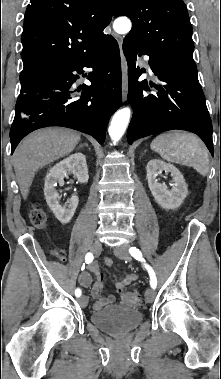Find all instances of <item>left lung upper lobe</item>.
<instances>
[{
    "instance_id": "1",
    "label": "left lung upper lobe",
    "mask_w": 221,
    "mask_h": 379,
    "mask_svg": "<svg viewBox=\"0 0 221 379\" xmlns=\"http://www.w3.org/2000/svg\"><path fill=\"white\" fill-rule=\"evenodd\" d=\"M113 14L132 21L126 37L171 64L197 70L192 26L183 0H112Z\"/></svg>"
}]
</instances>
